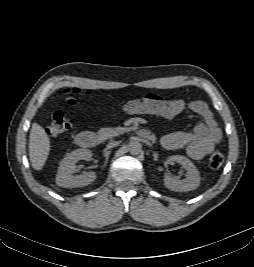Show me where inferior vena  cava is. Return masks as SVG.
<instances>
[{"instance_id": "1", "label": "inferior vena cava", "mask_w": 254, "mask_h": 267, "mask_svg": "<svg viewBox=\"0 0 254 267\" xmlns=\"http://www.w3.org/2000/svg\"><path fill=\"white\" fill-rule=\"evenodd\" d=\"M117 145H118L117 142H111V143H109V144L107 145V148H108V149H111V148H113V147H115V146H117Z\"/></svg>"}]
</instances>
